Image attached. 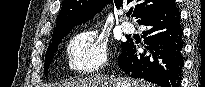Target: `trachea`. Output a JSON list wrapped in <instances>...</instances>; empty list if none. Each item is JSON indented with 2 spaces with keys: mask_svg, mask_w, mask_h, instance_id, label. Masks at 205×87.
Returning a JSON list of instances; mask_svg holds the SVG:
<instances>
[{
  "mask_svg": "<svg viewBox=\"0 0 205 87\" xmlns=\"http://www.w3.org/2000/svg\"><path fill=\"white\" fill-rule=\"evenodd\" d=\"M132 14V11L128 12L126 15L127 16H130Z\"/></svg>",
  "mask_w": 205,
  "mask_h": 87,
  "instance_id": "trachea-1",
  "label": "trachea"
}]
</instances>
